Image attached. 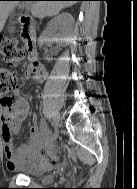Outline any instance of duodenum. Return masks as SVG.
Wrapping results in <instances>:
<instances>
[{"mask_svg":"<svg viewBox=\"0 0 137 189\" xmlns=\"http://www.w3.org/2000/svg\"><path fill=\"white\" fill-rule=\"evenodd\" d=\"M18 24L21 29V39L25 50L27 51L32 65L34 66L37 64L35 23L32 19L22 16L19 18Z\"/></svg>","mask_w":137,"mask_h":189,"instance_id":"1","label":"duodenum"}]
</instances>
